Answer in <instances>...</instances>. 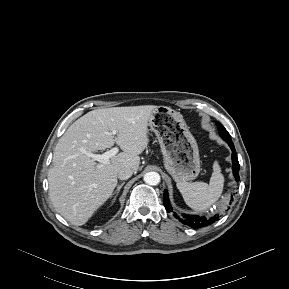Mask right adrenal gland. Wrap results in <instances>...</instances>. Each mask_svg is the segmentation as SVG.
I'll return each instance as SVG.
<instances>
[{"mask_svg": "<svg viewBox=\"0 0 289 289\" xmlns=\"http://www.w3.org/2000/svg\"><path fill=\"white\" fill-rule=\"evenodd\" d=\"M124 184H125V182H122L120 185L117 186V189L112 193L111 196H113L115 194V197L113 198L112 203L115 202V200H116V198H117V196H118V194L120 192V189L124 186Z\"/></svg>", "mask_w": 289, "mask_h": 289, "instance_id": "obj_1", "label": "right adrenal gland"}]
</instances>
